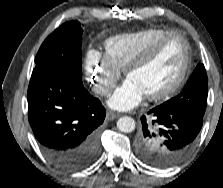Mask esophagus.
I'll return each instance as SVG.
<instances>
[{"instance_id":"1","label":"esophagus","mask_w":223,"mask_h":188,"mask_svg":"<svg viewBox=\"0 0 223 188\" xmlns=\"http://www.w3.org/2000/svg\"><path fill=\"white\" fill-rule=\"evenodd\" d=\"M118 117H119V114L118 113H115V112H112V111H108L106 113V119L107 120H114V119H116Z\"/></svg>"}]
</instances>
